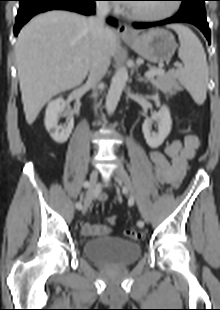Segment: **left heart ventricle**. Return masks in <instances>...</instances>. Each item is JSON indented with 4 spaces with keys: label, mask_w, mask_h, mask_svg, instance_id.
<instances>
[{
    "label": "left heart ventricle",
    "mask_w": 220,
    "mask_h": 310,
    "mask_svg": "<svg viewBox=\"0 0 220 310\" xmlns=\"http://www.w3.org/2000/svg\"><path fill=\"white\" fill-rule=\"evenodd\" d=\"M167 6L164 4L158 5H134L131 10L141 12L149 15H157L166 10Z\"/></svg>",
    "instance_id": "1"
}]
</instances>
